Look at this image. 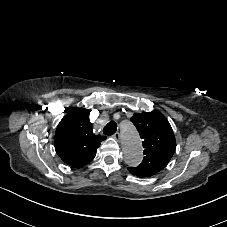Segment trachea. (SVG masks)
Returning a JSON list of instances; mask_svg holds the SVG:
<instances>
[{
  "instance_id": "3493384b",
  "label": "trachea",
  "mask_w": 227,
  "mask_h": 227,
  "mask_svg": "<svg viewBox=\"0 0 227 227\" xmlns=\"http://www.w3.org/2000/svg\"><path fill=\"white\" fill-rule=\"evenodd\" d=\"M117 130V124L114 121H110L104 128L103 133L105 135H113Z\"/></svg>"
}]
</instances>
